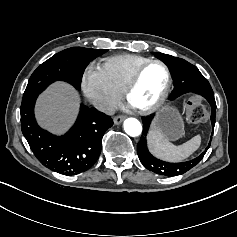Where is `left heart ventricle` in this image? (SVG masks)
Segmentation results:
<instances>
[{
  "label": "left heart ventricle",
  "mask_w": 237,
  "mask_h": 237,
  "mask_svg": "<svg viewBox=\"0 0 237 237\" xmlns=\"http://www.w3.org/2000/svg\"><path fill=\"white\" fill-rule=\"evenodd\" d=\"M166 84V73L162 66L153 64L142 74L141 79L134 89L130 105L133 108H146L152 105L161 95Z\"/></svg>",
  "instance_id": "b2bd125f"
}]
</instances>
